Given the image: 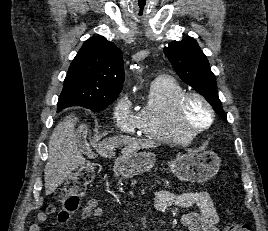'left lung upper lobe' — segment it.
<instances>
[{"mask_svg":"<svg viewBox=\"0 0 268 231\" xmlns=\"http://www.w3.org/2000/svg\"><path fill=\"white\" fill-rule=\"evenodd\" d=\"M164 53L179 77L203 95L215 112L226 121L227 117L218 97L215 75L196 40L186 37L179 42L173 41L164 48Z\"/></svg>","mask_w":268,"mask_h":231,"instance_id":"5c2ea615","label":"left lung upper lobe"}]
</instances>
